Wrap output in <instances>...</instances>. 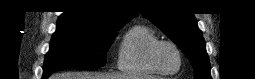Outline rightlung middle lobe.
I'll list each match as a JSON object with an SVG mask.
<instances>
[{"label":"right lung middle lobe","instance_id":"1","mask_svg":"<svg viewBox=\"0 0 255 79\" xmlns=\"http://www.w3.org/2000/svg\"><path fill=\"white\" fill-rule=\"evenodd\" d=\"M116 31L57 27L44 61L43 78L69 67L97 68L106 63V50Z\"/></svg>","mask_w":255,"mask_h":79}]
</instances>
